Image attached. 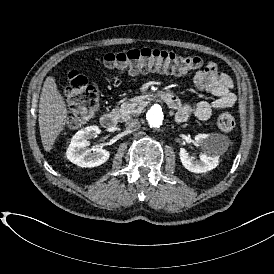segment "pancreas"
I'll return each mask as SVG.
<instances>
[{
	"instance_id": "obj_1",
	"label": "pancreas",
	"mask_w": 274,
	"mask_h": 274,
	"mask_svg": "<svg viewBox=\"0 0 274 274\" xmlns=\"http://www.w3.org/2000/svg\"><path fill=\"white\" fill-rule=\"evenodd\" d=\"M136 99H131L128 102H124L119 108L113 109L115 116L119 121H126L131 116H138L142 112V108L135 103Z\"/></svg>"
}]
</instances>
